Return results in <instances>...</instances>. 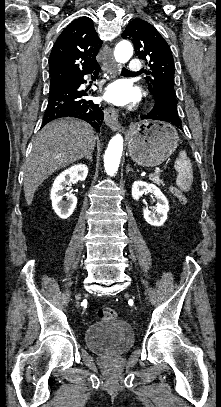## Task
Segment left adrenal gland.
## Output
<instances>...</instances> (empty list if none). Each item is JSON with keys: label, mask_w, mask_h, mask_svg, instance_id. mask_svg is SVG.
Segmentation results:
<instances>
[{"label": "left adrenal gland", "mask_w": 221, "mask_h": 407, "mask_svg": "<svg viewBox=\"0 0 221 407\" xmlns=\"http://www.w3.org/2000/svg\"><path fill=\"white\" fill-rule=\"evenodd\" d=\"M129 171L133 172V169L130 168V165L128 164V165L126 166V174H128Z\"/></svg>", "instance_id": "left-adrenal-gland-1"}]
</instances>
